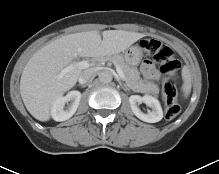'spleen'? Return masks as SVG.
<instances>
[{
    "label": "spleen",
    "mask_w": 219,
    "mask_h": 174,
    "mask_svg": "<svg viewBox=\"0 0 219 174\" xmlns=\"http://www.w3.org/2000/svg\"><path fill=\"white\" fill-rule=\"evenodd\" d=\"M182 77H183V86L182 90L185 94V96H188L190 91H191V78H190V73L189 69L187 67H184L182 70Z\"/></svg>",
    "instance_id": "obj_1"
}]
</instances>
